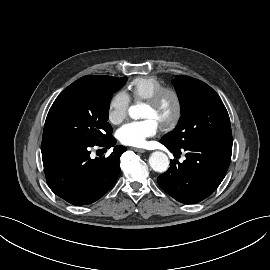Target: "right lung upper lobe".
<instances>
[{
  "label": "right lung upper lobe",
  "instance_id": "obj_1",
  "mask_svg": "<svg viewBox=\"0 0 270 270\" xmlns=\"http://www.w3.org/2000/svg\"><path fill=\"white\" fill-rule=\"evenodd\" d=\"M89 77H105V76H84V77H82V78H80V79H83V78H89Z\"/></svg>",
  "mask_w": 270,
  "mask_h": 270
}]
</instances>
